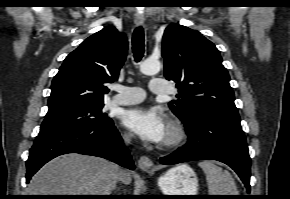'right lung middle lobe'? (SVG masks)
Wrapping results in <instances>:
<instances>
[{
  "label": "right lung middle lobe",
  "mask_w": 290,
  "mask_h": 199,
  "mask_svg": "<svg viewBox=\"0 0 290 199\" xmlns=\"http://www.w3.org/2000/svg\"><path fill=\"white\" fill-rule=\"evenodd\" d=\"M103 102L74 107L64 111L46 114L41 130L64 129L87 125H104L111 121L102 112Z\"/></svg>",
  "instance_id": "dd1d6c3e"
}]
</instances>
